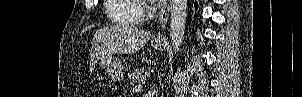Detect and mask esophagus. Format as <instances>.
Here are the masks:
<instances>
[{
	"label": "esophagus",
	"mask_w": 302,
	"mask_h": 97,
	"mask_svg": "<svg viewBox=\"0 0 302 97\" xmlns=\"http://www.w3.org/2000/svg\"><path fill=\"white\" fill-rule=\"evenodd\" d=\"M170 7L169 4L166 3L164 7L161 9L158 15V27L159 31L155 36L156 42H164L165 41V29L166 24L168 22Z\"/></svg>",
	"instance_id": "obj_1"
}]
</instances>
